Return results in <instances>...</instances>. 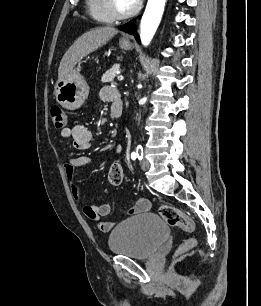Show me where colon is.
Returning a JSON list of instances; mask_svg holds the SVG:
<instances>
[{"instance_id":"5ec220e1","label":"colon","mask_w":261,"mask_h":306,"mask_svg":"<svg viewBox=\"0 0 261 306\" xmlns=\"http://www.w3.org/2000/svg\"><path fill=\"white\" fill-rule=\"evenodd\" d=\"M50 116L52 123L56 129L63 130L66 127L67 120L64 111L59 106H52L50 110ZM124 167L121 162H114L108 172V180L112 186H119L123 180ZM159 213L164 221L170 226L178 227L186 232H192L194 230L193 220L183 213L181 210L174 206L162 205L159 209ZM195 244L194 239L185 240L180 246L178 251L183 252Z\"/></svg>"}]
</instances>
